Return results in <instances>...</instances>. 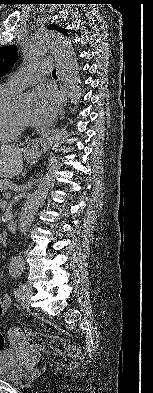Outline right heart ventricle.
<instances>
[{
    "mask_svg": "<svg viewBox=\"0 0 153 393\" xmlns=\"http://www.w3.org/2000/svg\"><path fill=\"white\" fill-rule=\"evenodd\" d=\"M15 91L6 86L0 87V145L16 140L21 130L15 125L10 103Z\"/></svg>",
    "mask_w": 153,
    "mask_h": 393,
    "instance_id": "1",
    "label": "right heart ventricle"
}]
</instances>
